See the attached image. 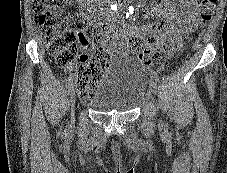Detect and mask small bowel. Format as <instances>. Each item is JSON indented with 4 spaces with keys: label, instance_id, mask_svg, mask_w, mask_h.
Returning <instances> with one entry per match:
<instances>
[{
    "label": "small bowel",
    "instance_id": "1",
    "mask_svg": "<svg viewBox=\"0 0 227 173\" xmlns=\"http://www.w3.org/2000/svg\"><path fill=\"white\" fill-rule=\"evenodd\" d=\"M179 7L165 1L157 4L150 12L151 16H160L167 19L161 27L143 26L136 27L124 22L121 15L113 16L116 25V33L112 41L103 48L116 57H125L134 53L130 47V41L143 36L161 34L167 44L163 48L165 54L170 55L181 44L184 36L198 25L196 14L197 0H173ZM132 11L134 7L131 6ZM130 13V11H128Z\"/></svg>",
    "mask_w": 227,
    "mask_h": 173
}]
</instances>
